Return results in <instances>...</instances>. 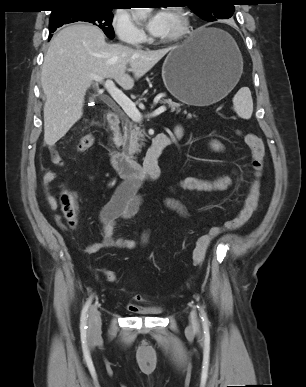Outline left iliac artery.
<instances>
[{
  "label": "left iliac artery",
  "instance_id": "obj_1",
  "mask_svg": "<svg viewBox=\"0 0 306 387\" xmlns=\"http://www.w3.org/2000/svg\"><path fill=\"white\" fill-rule=\"evenodd\" d=\"M198 308L200 310V316H201L204 327H208V319H207V315H206L204 309L201 306H198Z\"/></svg>",
  "mask_w": 306,
  "mask_h": 387
}]
</instances>
